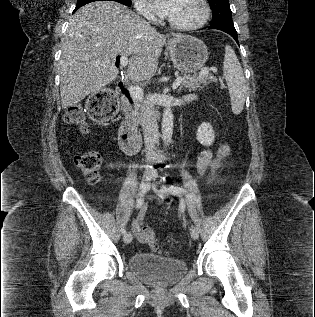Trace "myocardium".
<instances>
[{
  "instance_id": "myocardium-1",
  "label": "myocardium",
  "mask_w": 315,
  "mask_h": 317,
  "mask_svg": "<svg viewBox=\"0 0 315 317\" xmlns=\"http://www.w3.org/2000/svg\"><path fill=\"white\" fill-rule=\"evenodd\" d=\"M199 1L202 5L203 13L201 18L198 21L189 23V24H180L168 18V23L170 24V26H172L175 29L184 30V31L195 30V29H199L203 27L209 20L211 10L207 0H199Z\"/></svg>"
}]
</instances>
